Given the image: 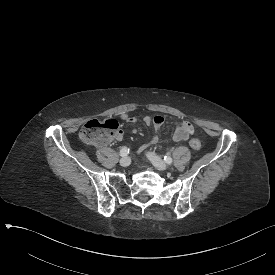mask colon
<instances>
[{
  "mask_svg": "<svg viewBox=\"0 0 275 275\" xmlns=\"http://www.w3.org/2000/svg\"><path fill=\"white\" fill-rule=\"evenodd\" d=\"M122 129L114 120H89L84 123L79 133V139L83 144L97 145L120 140ZM190 146L194 150L201 148L198 139L190 140Z\"/></svg>",
  "mask_w": 275,
  "mask_h": 275,
  "instance_id": "obj_1",
  "label": "colon"
}]
</instances>
